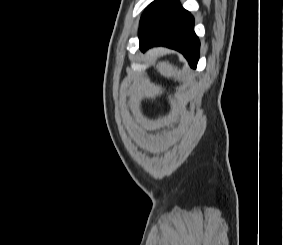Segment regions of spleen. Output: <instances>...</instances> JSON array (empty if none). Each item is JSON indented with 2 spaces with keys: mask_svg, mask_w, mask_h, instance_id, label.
Masks as SVG:
<instances>
[{
  "mask_svg": "<svg viewBox=\"0 0 283 245\" xmlns=\"http://www.w3.org/2000/svg\"><path fill=\"white\" fill-rule=\"evenodd\" d=\"M156 69L166 78L174 77L176 79H185L187 77L185 74H182L176 66L170 64L168 61L159 62L156 65Z\"/></svg>",
  "mask_w": 283,
  "mask_h": 245,
  "instance_id": "obj_1",
  "label": "spleen"
}]
</instances>
